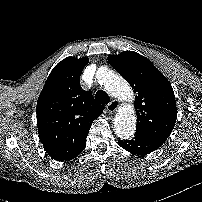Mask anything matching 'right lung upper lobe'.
Listing matches in <instances>:
<instances>
[{
	"mask_svg": "<svg viewBox=\"0 0 202 202\" xmlns=\"http://www.w3.org/2000/svg\"><path fill=\"white\" fill-rule=\"evenodd\" d=\"M88 58L67 57L50 73L38 98L36 114L40 140L57 161L71 160L82 148L94 119L104 107L79 86Z\"/></svg>",
	"mask_w": 202,
	"mask_h": 202,
	"instance_id": "cb5924a9",
	"label": "right lung upper lobe"
}]
</instances>
